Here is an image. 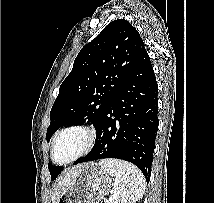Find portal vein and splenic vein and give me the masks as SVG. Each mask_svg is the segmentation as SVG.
Returning <instances> with one entry per match:
<instances>
[{
	"label": "portal vein and splenic vein",
	"mask_w": 214,
	"mask_h": 203,
	"mask_svg": "<svg viewBox=\"0 0 214 203\" xmlns=\"http://www.w3.org/2000/svg\"><path fill=\"white\" fill-rule=\"evenodd\" d=\"M114 197H115L114 195L111 196V197L109 198V200H114ZM109 200H108V201H109Z\"/></svg>",
	"instance_id": "portal-vein-and-splenic-vein-1"
}]
</instances>
